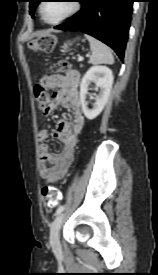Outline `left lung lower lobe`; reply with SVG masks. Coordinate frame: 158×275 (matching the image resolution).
Instances as JSON below:
<instances>
[{
	"mask_svg": "<svg viewBox=\"0 0 158 275\" xmlns=\"http://www.w3.org/2000/svg\"><path fill=\"white\" fill-rule=\"evenodd\" d=\"M82 8L69 21L56 26L66 31H82L110 46L124 58L134 0H81Z\"/></svg>",
	"mask_w": 158,
	"mask_h": 275,
	"instance_id": "0a47b994",
	"label": "left lung lower lobe"
}]
</instances>
